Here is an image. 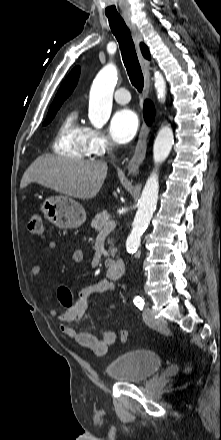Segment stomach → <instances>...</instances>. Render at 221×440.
<instances>
[{"label":"stomach","mask_w":221,"mask_h":440,"mask_svg":"<svg viewBox=\"0 0 221 440\" xmlns=\"http://www.w3.org/2000/svg\"><path fill=\"white\" fill-rule=\"evenodd\" d=\"M45 217L59 228H78L86 220L83 206L68 196H51L44 200Z\"/></svg>","instance_id":"1"}]
</instances>
